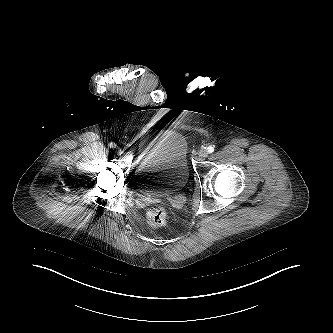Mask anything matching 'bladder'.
I'll return each instance as SVG.
<instances>
[{"instance_id": "obj_1", "label": "bladder", "mask_w": 333, "mask_h": 333, "mask_svg": "<svg viewBox=\"0 0 333 333\" xmlns=\"http://www.w3.org/2000/svg\"><path fill=\"white\" fill-rule=\"evenodd\" d=\"M188 140L178 131L165 133L140 159L133 181L138 192L168 196L182 190L189 179Z\"/></svg>"}]
</instances>
